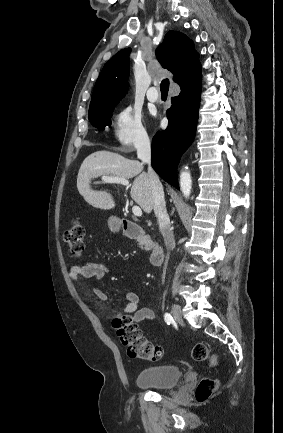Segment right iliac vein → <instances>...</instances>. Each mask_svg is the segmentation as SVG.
Returning <instances> with one entry per match:
<instances>
[{
    "instance_id": "1",
    "label": "right iliac vein",
    "mask_w": 283,
    "mask_h": 433,
    "mask_svg": "<svg viewBox=\"0 0 283 433\" xmlns=\"http://www.w3.org/2000/svg\"><path fill=\"white\" fill-rule=\"evenodd\" d=\"M173 317L178 323H182L181 310L178 305L174 304L172 306Z\"/></svg>"
}]
</instances>
